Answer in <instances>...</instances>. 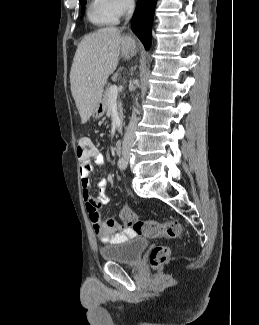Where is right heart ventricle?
<instances>
[{
    "label": "right heart ventricle",
    "mask_w": 259,
    "mask_h": 325,
    "mask_svg": "<svg viewBox=\"0 0 259 325\" xmlns=\"http://www.w3.org/2000/svg\"><path fill=\"white\" fill-rule=\"evenodd\" d=\"M88 20L97 26L112 25L116 18L106 9L104 0H90L86 10Z\"/></svg>",
    "instance_id": "right-heart-ventricle-1"
}]
</instances>
